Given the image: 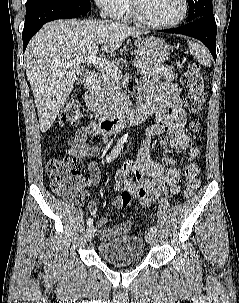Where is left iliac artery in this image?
<instances>
[{
	"mask_svg": "<svg viewBox=\"0 0 239 303\" xmlns=\"http://www.w3.org/2000/svg\"><path fill=\"white\" fill-rule=\"evenodd\" d=\"M150 230L152 231V232H157V227L156 226H152L151 228H150Z\"/></svg>",
	"mask_w": 239,
	"mask_h": 303,
	"instance_id": "left-iliac-artery-1",
	"label": "left iliac artery"
}]
</instances>
